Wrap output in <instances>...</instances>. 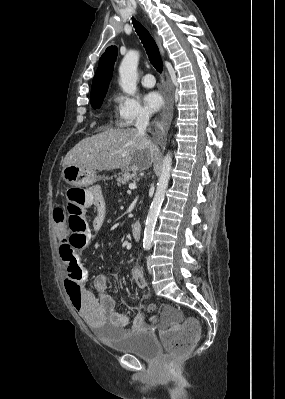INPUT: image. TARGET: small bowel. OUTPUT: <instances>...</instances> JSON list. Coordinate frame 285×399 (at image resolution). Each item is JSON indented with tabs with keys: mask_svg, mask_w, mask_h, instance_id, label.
Returning a JSON list of instances; mask_svg holds the SVG:
<instances>
[{
	"mask_svg": "<svg viewBox=\"0 0 285 399\" xmlns=\"http://www.w3.org/2000/svg\"><path fill=\"white\" fill-rule=\"evenodd\" d=\"M86 209H93L92 228L97 231L101 228L106 218V202L99 186H93L84 192ZM56 221V230L61 241L67 239V229L62 220L63 211L60 208L53 210ZM71 267L68 277L72 282H79L82 286V298L78 307L74 306L83 320L89 324H99L108 322L112 326L120 329L122 332L129 330H146L145 315L136 307H132L131 313H120L116 310V303L108 289L106 274L102 273L96 276L94 286L98 295L92 293L85 285L87 271L79 264ZM131 277L135 284L142 290H147L146 279L139 267L131 270ZM72 302V301H71Z\"/></svg>",
	"mask_w": 285,
	"mask_h": 399,
	"instance_id": "1",
	"label": "small bowel"
}]
</instances>
